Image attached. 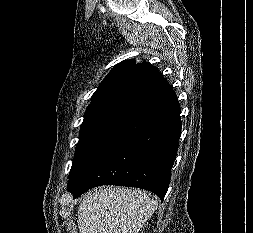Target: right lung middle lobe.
I'll return each instance as SVG.
<instances>
[{
	"instance_id": "dd1d6c3e",
	"label": "right lung middle lobe",
	"mask_w": 253,
	"mask_h": 233,
	"mask_svg": "<svg viewBox=\"0 0 253 233\" xmlns=\"http://www.w3.org/2000/svg\"><path fill=\"white\" fill-rule=\"evenodd\" d=\"M135 103L130 100H111L88 106L81 125L70 175Z\"/></svg>"
}]
</instances>
